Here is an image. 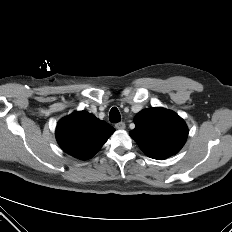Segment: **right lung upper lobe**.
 <instances>
[{"instance_id": "cb5924a9", "label": "right lung upper lobe", "mask_w": 232, "mask_h": 232, "mask_svg": "<svg viewBox=\"0 0 232 232\" xmlns=\"http://www.w3.org/2000/svg\"><path fill=\"white\" fill-rule=\"evenodd\" d=\"M115 129L86 111L75 112L61 119L56 127L59 145L68 154L87 160L105 144Z\"/></svg>"}]
</instances>
